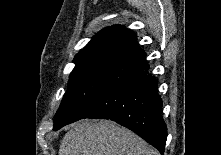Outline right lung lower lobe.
Segmentation results:
<instances>
[{"label": "right lung lower lobe", "mask_w": 221, "mask_h": 155, "mask_svg": "<svg viewBox=\"0 0 221 155\" xmlns=\"http://www.w3.org/2000/svg\"><path fill=\"white\" fill-rule=\"evenodd\" d=\"M145 52L137 47L118 62L81 119H110L132 130L161 154L167 127L156 79L148 73Z\"/></svg>", "instance_id": "98d812e1"}]
</instances>
